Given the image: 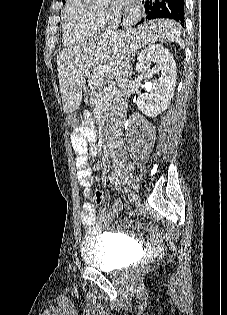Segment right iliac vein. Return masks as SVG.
<instances>
[{"mask_svg": "<svg viewBox=\"0 0 227 315\" xmlns=\"http://www.w3.org/2000/svg\"><path fill=\"white\" fill-rule=\"evenodd\" d=\"M118 175L120 176V178L122 179V181L125 184L130 185L133 189H138L139 188V184L137 183V181L133 178L132 175H130L129 173L125 172V171H118Z\"/></svg>", "mask_w": 227, "mask_h": 315, "instance_id": "63e3f726", "label": "right iliac vein"}]
</instances>
